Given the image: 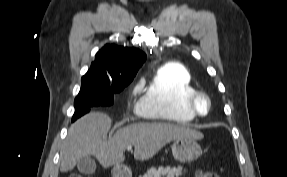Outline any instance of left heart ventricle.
<instances>
[{
    "instance_id": "1",
    "label": "left heart ventricle",
    "mask_w": 287,
    "mask_h": 177,
    "mask_svg": "<svg viewBox=\"0 0 287 177\" xmlns=\"http://www.w3.org/2000/svg\"><path fill=\"white\" fill-rule=\"evenodd\" d=\"M200 108H201L202 111L205 110V104H204V102H201V103H200Z\"/></svg>"
}]
</instances>
